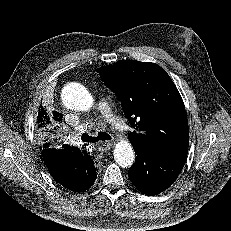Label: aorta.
I'll return each mask as SVG.
<instances>
[{
  "mask_svg": "<svg viewBox=\"0 0 231 231\" xmlns=\"http://www.w3.org/2000/svg\"><path fill=\"white\" fill-rule=\"evenodd\" d=\"M63 104L76 111H88L94 105V99L90 92L79 83H68L61 92ZM114 159L122 168L133 165L135 154L128 140H120L114 148Z\"/></svg>",
  "mask_w": 231,
  "mask_h": 231,
  "instance_id": "aorta-1",
  "label": "aorta"
}]
</instances>
